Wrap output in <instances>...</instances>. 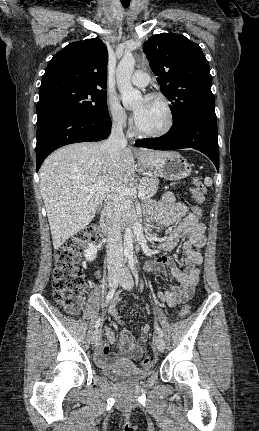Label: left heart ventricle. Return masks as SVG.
I'll list each match as a JSON object with an SVG mask.
<instances>
[{
	"mask_svg": "<svg viewBox=\"0 0 259 431\" xmlns=\"http://www.w3.org/2000/svg\"><path fill=\"white\" fill-rule=\"evenodd\" d=\"M142 107L140 115L136 118L139 128L146 132L160 130L166 122V112L160 101L155 99H141L134 109Z\"/></svg>",
	"mask_w": 259,
	"mask_h": 431,
	"instance_id": "1",
	"label": "left heart ventricle"
}]
</instances>
